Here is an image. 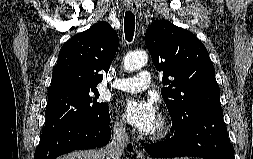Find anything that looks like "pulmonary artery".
I'll return each instance as SVG.
<instances>
[{"mask_svg": "<svg viewBox=\"0 0 253 159\" xmlns=\"http://www.w3.org/2000/svg\"><path fill=\"white\" fill-rule=\"evenodd\" d=\"M152 80L148 71H141L135 77H123L115 80L113 87L125 92H139L151 86Z\"/></svg>", "mask_w": 253, "mask_h": 159, "instance_id": "1", "label": "pulmonary artery"}]
</instances>
